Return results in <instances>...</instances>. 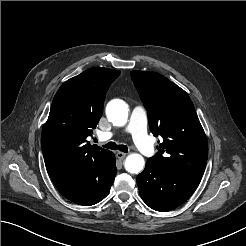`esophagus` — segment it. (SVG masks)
Masks as SVG:
<instances>
[{
  "label": "esophagus",
  "instance_id": "34e87169",
  "mask_svg": "<svg viewBox=\"0 0 246 246\" xmlns=\"http://www.w3.org/2000/svg\"><path fill=\"white\" fill-rule=\"evenodd\" d=\"M126 155H127L126 153L120 151L116 153V157L120 160H123L126 157Z\"/></svg>",
  "mask_w": 246,
  "mask_h": 246
}]
</instances>
